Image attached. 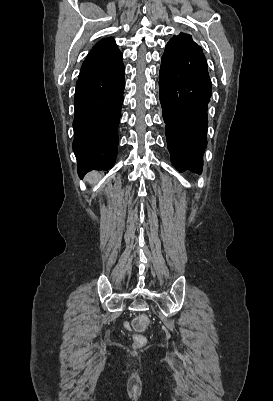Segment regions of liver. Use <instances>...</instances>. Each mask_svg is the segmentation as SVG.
<instances>
[{"label": "liver", "instance_id": "1", "mask_svg": "<svg viewBox=\"0 0 273 401\" xmlns=\"http://www.w3.org/2000/svg\"><path fill=\"white\" fill-rule=\"evenodd\" d=\"M101 178V174L99 172H96V170H93V172H89V174H86L85 180H88L90 184H93V182H97Z\"/></svg>", "mask_w": 273, "mask_h": 401}]
</instances>
